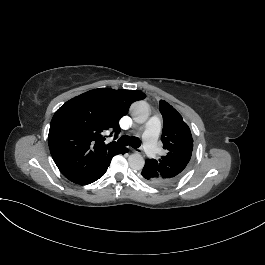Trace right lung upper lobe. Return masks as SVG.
I'll use <instances>...</instances> for the list:
<instances>
[{"label":"right lung upper lobe","mask_w":265,"mask_h":265,"mask_svg":"<svg viewBox=\"0 0 265 265\" xmlns=\"http://www.w3.org/2000/svg\"><path fill=\"white\" fill-rule=\"evenodd\" d=\"M146 95L140 91L98 88L64 103L54 114L48 135L53 160L61 173L77 184H90L105 173L124 147L103 143L102 132L120 131L118 120Z\"/></svg>","instance_id":"cb5924a9"}]
</instances>
